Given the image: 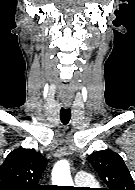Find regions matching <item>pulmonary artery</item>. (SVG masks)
<instances>
[{"instance_id": "1", "label": "pulmonary artery", "mask_w": 135, "mask_h": 190, "mask_svg": "<svg viewBox=\"0 0 135 190\" xmlns=\"http://www.w3.org/2000/svg\"><path fill=\"white\" fill-rule=\"evenodd\" d=\"M75 183L79 186H86V185H92L93 184V178L92 176L84 171H79L75 175Z\"/></svg>"}]
</instances>
